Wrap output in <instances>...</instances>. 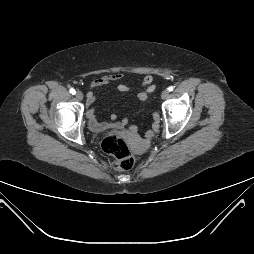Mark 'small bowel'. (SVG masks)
<instances>
[{"label":"small bowel","mask_w":254,"mask_h":254,"mask_svg":"<svg viewBox=\"0 0 254 254\" xmlns=\"http://www.w3.org/2000/svg\"><path fill=\"white\" fill-rule=\"evenodd\" d=\"M124 77V74L122 73H113V74H107L103 75L100 77H97L93 79L90 82V88L91 89H97L102 86L115 83L120 81ZM140 84L143 86V90L138 93L137 97L140 101H144L147 99L148 94L151 93L155 86L153 84V77L152 75H145L141 80ZM116 90L119 92H127L130 90V87L126 84H118L116 86ZM97 100V96L93 91H90L87 93V100H86V116H87V122H88V127L91 131L93 132H100L103 131L111 126H115L118 129H121L124 124L127 123V119L124 118L121 121H119V117L116 114L112 115V120L114 123H106V122H99L96 117V112L94 108V103ZM154 117V122L152 123L151 128L147 131L146 137H150L153 132H156L159 128V116L157 113L153 115Z\"/></svg>","instance_id":"small-bowel-1"}]
</instances>
